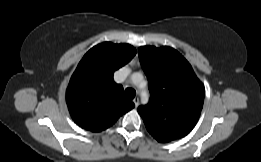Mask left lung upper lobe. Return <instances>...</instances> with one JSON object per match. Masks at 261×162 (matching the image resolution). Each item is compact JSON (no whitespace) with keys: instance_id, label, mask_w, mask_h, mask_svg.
<instances>
[{"instance_id":"1","label":"left lung upper lobe","mask_w":261,"mask_h":162,"mask_svg":"<svg viewBox=\"0 0 261 162\" xmlns=\"http://www.w3.org/2000/svg\"><path fill=\"white\" fill-rule=\"evenodd\" d=\"M150 102L138 107L148 132L161 143L185 137L196 125L205 89L189 62L171 47L138 49Z\"/></svg>"}]
</instances>
